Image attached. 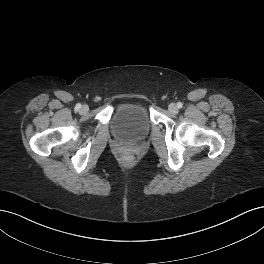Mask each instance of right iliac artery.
Masks as SVG:
<instances>
[{
	"instance_id": "82829eb1",
	"label": "right iliac artery",
	"mask_w": 264,
	"mask_h": 264,
	"mask_svg": "<svg viewBox=\"0 0 264 264\" xmlns=\"http://www.w3.org/2000/svg\"><path fill=\"white\" fill-rule=\"evenodd\" d=\"M80 108H81V104H77L75 107L76 110H79Z\"/></svg>"
}]
</instances>
